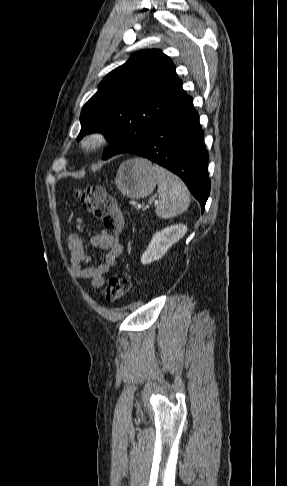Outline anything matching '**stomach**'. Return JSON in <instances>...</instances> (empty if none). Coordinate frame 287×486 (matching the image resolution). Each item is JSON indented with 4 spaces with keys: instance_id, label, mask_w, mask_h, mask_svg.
I'll return each instance as SVG.
<instances>
[{
    "instance_id": "0dacf381",
    "label": "stomach",
    "mask_w": 287,
    "mask_h": 486,
    "mask_svg": "<svg viewBox=\"0 0 287 486\" xmlns=\"http://www.w3.org/2000/svg\"><path fill=\"white\" fill-rule=\"evenodd\" d=\"M157 181L151 162L143 158L124 161L117 171L116 186L128 198L140 199L150 195Z\"/></svg>"
}]
</instances>
